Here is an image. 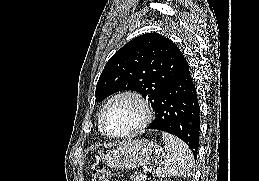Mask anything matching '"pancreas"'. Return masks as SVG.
<instances>
[{"instance_id":"obj_1","label":"pancreas","mask_w":259,"mask_h":181,"mask_svg":"<svg viewBox=\"0 0 259 181\" xmlns=\"http://www.w3.org/2000/svg\"><path fill=\"white\" fill-rule=\"evenodd\" d=\"M133 181H146V178L143 174L136 172L134 175L131 176Z\"/></svg>"}]
</instances>
